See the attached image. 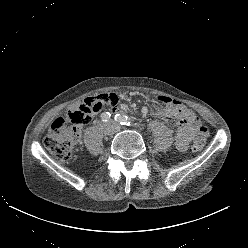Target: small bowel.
Instances as JSON below:
<instances>
[{
	"label": "small bowel",
	"instance_id": "small-bowel-1",
	"mask_svg": "<svg viewBox=\"0 0 248 248\" xmlns=\"http://www.w3.org/2000/svg\"><path fill=\"white\" fill-rule=\"evenodd\" d=\"M105 94L99 95L102 96ZM112 97V103L102 102L100 112L105 105H110L113 109L123 107L118 97L115 94H108ZM143 115L151 114L164 120L170 124L175 122L178 126V132L175 137V145L178 150L186 151L191 137L196 134L195 127L198 124V119L195 114L187 109L180 101L164 97L161 95L156 96L149 107L141 109Z\"/></svg>",
	"mask_w": 248,
	"mask_h": 248
}]
</instances>
